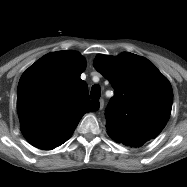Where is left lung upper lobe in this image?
I'll return each instance as SVG.
<instances>
[{
  "label": "left lung upper lobe",
  "instance_id": "5c2ea615",
  "mask_svg": "<svg viewBox=\"0 0 187 187\" xmlns=\"http://www.w3.org/2000/svg\"><path fill=\"white\" fill-rule=\"evenodd\" d=\"M93 66L114 88L105 110L108 135L130 147L157 137L173 102L172 87L160 71L146 58L128 52L116 57L98 54Z\"/></svg>",
  "mask_w": 187,
  "mask_h": 187
}]
</instances>
